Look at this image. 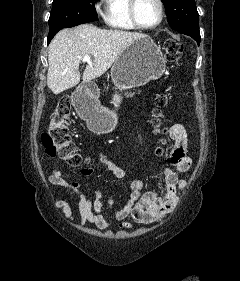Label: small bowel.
I'll list each match as a JSON object with an SVG mask.
<instances>
[{
	"instance_id": "1",
	"label": "small bowel",
	"mask_w": 240,
	"mask_h": 281,
	"mask_svg": "<svg viewBox=\"0 0 240 281\" xmlns=\"http://www.w3.org/2000/svg\"><path fill=\"white\" fill-rule=\"evenodd\" d=\"M169 124L168 134L173 142L169 153L170 166L163 167L160 175L165 183V192L144 191V184L139 179L128 183L126 195L127 202L119 209L115 208V201L110 192L106 189H98L93 194H85L81 190L78 181L68 179L60 170H53L48 180L53 185L62 186L78 197V212L82 224H93L99 230H106L110 224L105 212L119 222L120 229L132 228V222L137 224H151L169 212H171L179 201L180 191L186 186L187 180L180 179L177 172H187L192 164L187 155L188 134L182 124L175 123L171 119H165ZM100 163L112 172L117 178L124 179L127 174L125 170L111 161L104 153L98 155ZM93 172L92 167H85L79 170L82 176H89ZM107 197L106 204L103 198ZM55 207L61 209L70 219L73 211L67 201L59 200ZM131 220V221H130Z\"/></svg>"
}]
</instances>
